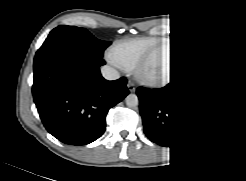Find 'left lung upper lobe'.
<instances>
[{
  "mask_svg": "<svg viewBox=\"0 0 246 181\" xmlns=\"http://www.w3.org/2000/svg\"><path fill=\"white\" fill-rule=\"evenodd\" d=\"M184 45L187 47L185 58L210 51L207 45L199 41L193 34L187 32L180 35Z\"/></svg>",
  "mask_w": 246,
  "mask_h": 181,
  "instance_id": "obj_1",
  "label": "left lung upper lobe"
}]
</instances>
